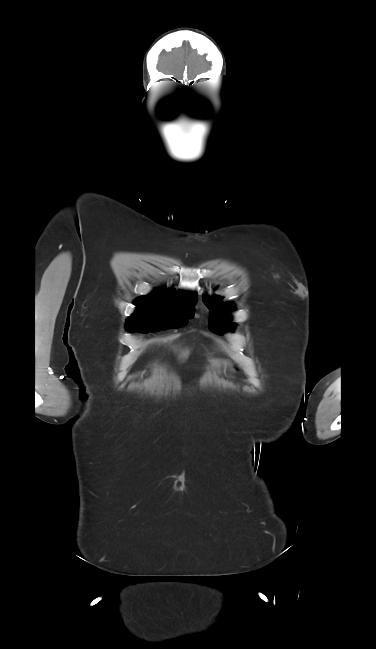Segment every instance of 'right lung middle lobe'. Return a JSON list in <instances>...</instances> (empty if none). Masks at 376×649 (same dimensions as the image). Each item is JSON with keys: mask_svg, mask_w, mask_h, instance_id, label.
Returning a JSON list of instances; mask_svg holds the SVG:
<instances>
[{"mask_svg": "<svg viewBox=\"0 0 376 649\" xmlns=\"http://www.w3.org/2000/svg\"><path fill=\"white\" fill-rule=\"evenodd\" d=\"M197 294L175 292L174 290H155L135 301L136 312L126 323V330L140 329L141 332L159 331L183 327L187 319L194 315L193 306Z\"/></svg>", "mask_w": 376, "mask_h": 649, "instance_id": "obj_1", "label": "right lung middle lobe"}]
</instances>
